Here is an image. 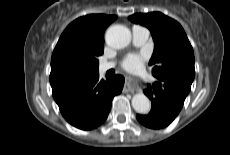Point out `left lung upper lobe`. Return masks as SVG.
<instances>
[{"label":"left lung upper lobe","instance_id":"5c2ea615","mask_svg":"<svg viewBox=\"0 0 230 155\" xmlns=\"http://www.w3.org/2000/svg\"><path fill=\"white\" fill-rule=\"evenodd\" d=\"M129 19L151 31L155 46L149 65L153 76L190 90L195 77L194 53L182 26L160 12L134 14Z\"/></svg>","mask_w":230,"mask_h":155}]
</instances>
